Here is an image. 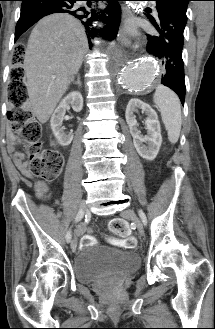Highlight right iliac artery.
Segmentation results:
<instances>
[{
  "mask_svg": "<svg viewBox=\"0 0 215 329\" xmlns=\"http://www.w3.org/2000/svg\"><path fill=\"white\" fill-rule=\"evenodd\" d=\"M82 218H83V213H82L81 211H79L78 214L76 215L75 222L80 221ZM71 237H72V235H71V230H69V231L67 232V234H66V237H65V238H66V241H67V242H70Z\"/></svg>",
  "mask_w": 215,
  "mask_h": 329,
  "instance_id": "82829eb1",
  "label": "right iliac artery"
}]
</instances>
